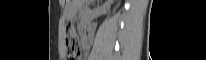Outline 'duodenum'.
I'll return each mask as SVG.
<instances>
[{"mask_svg": "<svg viewBox=\"0 0 206 60\" xmlns=\"http://www.w3.org/2000/svg\"><path fill=\"white\" fill-rule=\"evenodd\" d=\"M82 36L84 37L86 35V30H89V25H82Z\"/></svg>", "mask_w": 206, "mask_h": 60, "instance_id": "obj_1", "label": "duodenum"}]
</instances>
